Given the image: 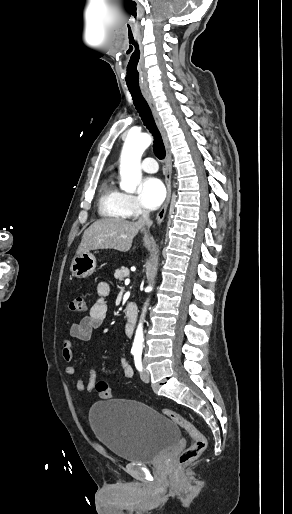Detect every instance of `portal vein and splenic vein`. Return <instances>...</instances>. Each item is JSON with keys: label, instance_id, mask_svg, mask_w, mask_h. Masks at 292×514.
I'll use <instances>...</instances> for the list:
<instances>
[{"label": "portal vein and splenic vein", "instance_id": "obj_1", "mask_svg": "<svg viewBox=\"0 0 292 514\" xmlns=\"http://www.w3.org/2000/svg\"><path fill=\"white\" fill-rule=\"evenodd\" d=\"M130 280H125V286H128Z\"/></svg>", "mask_w": 292, "mask_h": 514}]
</instances>
